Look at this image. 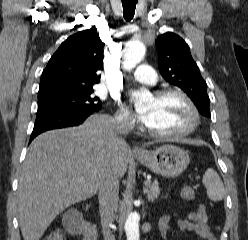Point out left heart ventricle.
Returning <instances> with one entry per match:
<instances>
[{"label":"left heart ventricle","mask_w":248,"mask_h":240,"mask_svg":"<svg viewBox=\"0 0 248 240\" xmlns=\"http://www.w3.org/2000/svg\"><path fill=\"white\" fill-rule=\"evenodd\" d=\"M145 110L152 115L148 128L158 132H176L186 128L192 121L186 102L177 95L153 97Z\"/></svg>","instance_id":"left-heart-ventricle-1"}]
</instances>
